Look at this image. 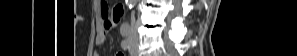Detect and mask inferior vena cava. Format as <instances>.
Returning <instances> with one entry per match:
<instances>
[{
    "label": "inferior vena cava",
    "mask_w": 297,
    "mask_h": 56,
    "mask_svg": "<svg viewBox=\"0 0 297 56\" xmlns=\"http://www.w3.org/2000/svg\"><path fill=\"white\" fill-rule=\"evenodd\" d=\"M131 36L136 37L135 15H134V13H132V15H131Z\"/></svg>",
    "instance_id": "obj_1"
}]
</instances>
